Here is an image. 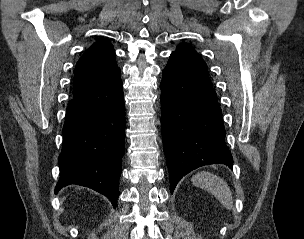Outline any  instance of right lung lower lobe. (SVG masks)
<instances>
[{
	"instance_id": "98d812e1",
	"label": "right lung lower lobe",
	"mask_w": 304,
	"mask_h": 239,
	"mask_svg": "<svg viewBox=\"0 0 304 239\" xmlns=\"http://www.w3.org/2000/svg\"><path fill=\"white\" fill-rule=\"evenodd\" d=\"M120 72L69 102L56 193L64 186L77 184L105 195L113 206L117 205L125 129Z\"/></svg>"
}]
</instances>
